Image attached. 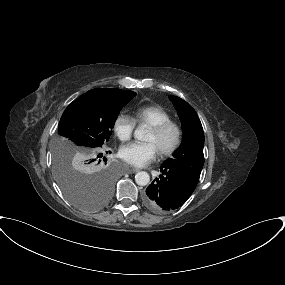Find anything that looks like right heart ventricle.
I'll return each instance as SVG.
<instances>
[{"label":"right heart ventricle","instance_id":"e07e8e85","mask_svg":"<svg viewBox=\"0 0 285 285\" xmlns=\"http://www.w3.org/2000/svg\"><path fill=\"white\" fill-rule=\"evenodd\" d=\"M135 120L150 126L171 120L170 114L158 105H146L134 110Z\"/></svg>","mask_w":285,"mask_h":285}]
</instances>
